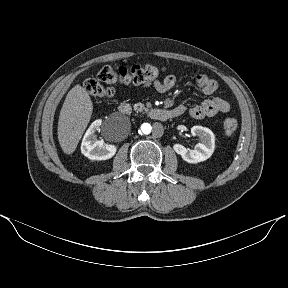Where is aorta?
<instances>
[{"instance_id":"762f6f07","label":"aorta","mask_w":288,"mask_h":288,"mask_svg":"<svg viewBox=\"0 0 288 288\" xmlns=\"http://www.w3.org/2000/svg\"><path fill=\"white\" fill-rule=\"evenodd\" d=\"M151 131H152V126L150 124H148V123L141 124L137 128V133L141 137L148 136L149 133H151Z\"/></svg>"}]
</instances>
